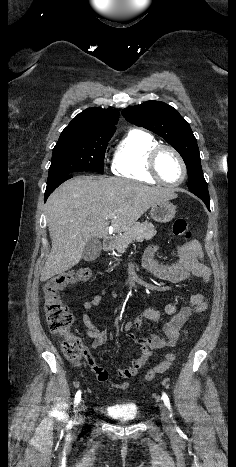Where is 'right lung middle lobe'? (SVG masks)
<instances>
[{
  "instance_id": "1",
  "label": "right lung middle lobe",
  "mask_w": 236,
  "mask_h": 467,
  "mask_svg": "<svg viewBox=\"0 0 236 467\" xmlns=\"http://www.w3.org/2000/svg\"><path fill=\"white\" fill-rule=\"evenodd\" d=\"M113 133L62 132L53 149L47 182L80 171H104V156Z\"/></svg>"
}]
</instances>
